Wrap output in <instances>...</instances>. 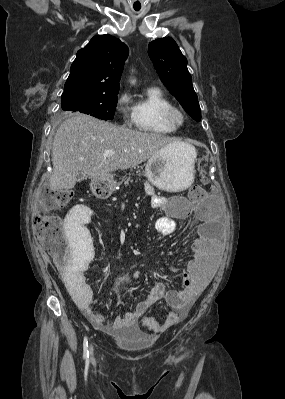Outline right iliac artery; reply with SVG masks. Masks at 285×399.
Listing matches in <instances>:
<instances>
[{
  "mask_svg": "<svg viewBox=\"0 0 285 399\" xmlns=\"http://www.w3.org/2000/svg\"><path fill=\"white\" fill-rule=\"evenodd\" d=\"M83 357L85 360L89 359V350H88V339L87 337L84 338L83 341Z\"/></svg>",
  "mask_w": 285,
  "mask_h": 399,
  "instance_id": "82829eb1",
  "label": "right iliac artery"
}]
</instances>
